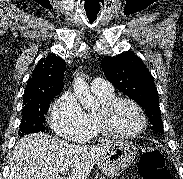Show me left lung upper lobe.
<instances>
[{
	"instance_id": "obj_1",
	"label": "left lung upper lobe",
	"mask_w": 183,
	"mask_h": 179,
	"mask_svg": "<svg viewBox=\"0 0 183 179\" xmlns=\"http://www.w3.org/2000/svg\"><path fill=\"white\" fill-rule=\"evenodd\" d=\"M107 79L122 93L136 101L146 110L154 131L163 134L158 91L154 79L143 61L132 52L102 59Z\"/></svg>"
}]
</instances>
